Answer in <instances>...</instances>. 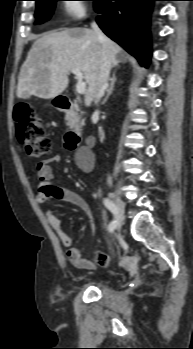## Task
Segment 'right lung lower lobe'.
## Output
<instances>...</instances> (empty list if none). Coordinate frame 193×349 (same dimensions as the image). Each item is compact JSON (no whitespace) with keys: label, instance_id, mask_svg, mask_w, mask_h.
<instances>
[{"label":"right lung lower lobe","instance_id":"1","mask_svg":"<svg viewBox=\"0 0 193 349\" xmlns=\"http://www.w3.org/2000/svg\"><path fill=\"white\" fill-rule=\"evenodd\" d=\"M156 0H97L96 22L103 32L139 62L148 66L151 57L150 11Z\"/></svg>","mask_w":193,"mask_h":349}]
</instances>
